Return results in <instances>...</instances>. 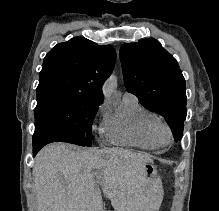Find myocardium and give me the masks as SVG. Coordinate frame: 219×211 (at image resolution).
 Wrapping results in <instances>:
<instances>
[{"label": "myocardium", "mask_w": 219, "mask_h": 211, "mask_svg": "<svg viewBox=\"0 0 219 211\" xmlns=\"http://www.w3.org/2000/svg\"><path fill=\"white\" fill-rule=\"evenodd\" d=\"M153 132L160 144H169L172 141V131L169 125L163 121H157L153 125Z\"/></svg>", "instance_id": "1"}]
</instances>
